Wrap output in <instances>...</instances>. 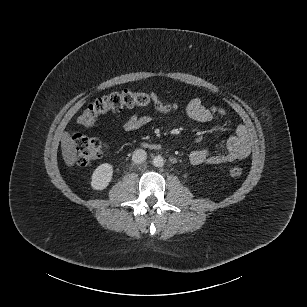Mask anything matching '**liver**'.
Returning a JSON list of instances; mask_svg holds the SVG:
<instances>
[{"label": "liver", "mask_w": 307, "mask_h": 307, "mask_svg": "<svg viewBox=\"0 0 307 307\" xmlns=\"http://www.w3.org/2000/svg\"><path fill=\"white\" fill-rule=\"evenodd\" d=\"M79 144L72 138L69 131H64L61 135V151L67 167H73L79 160Z\"/></svg>", "instance_id": "1"}]
</instances>
